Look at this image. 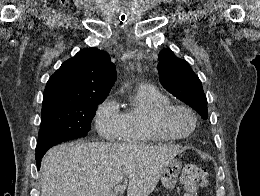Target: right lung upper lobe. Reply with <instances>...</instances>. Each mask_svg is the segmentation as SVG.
Here are the masks:
<instances>
[{
  "instance_id": "right-lung-upper-lobe-1",
  "label": "right lung upper lobe",
  "mask_w": 260,
  "mask_h": 196,
  "mask_svg": "<svg viewBox=\"0 0 260 196\" xmlns=\"http://www.w3.org/2000/svg\"><path fill=\"white\" fill-rule=\"evenodd\" d=\"M115 79L116 68L107 52L97 48L83 49L49 78L42 106L105 98Z\"/></svg>"
}]
</instances>
